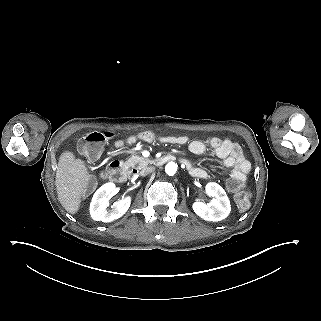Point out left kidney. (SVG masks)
<instances>
[{"instance_id": "1", "label": "left kidney", "mask_w": 321, "mask_h": 321, "mask_svg": "<svg viewBox=\"0 0 321 321\" xmlns=\"http://www.w3.org/2000/svg\"><path fill=\"white\" fill-rule=\"evenodd\" d=\"M205 192L209 197H216L207 205L203 202H194L192 209L197 216L206 221H221L231 213L229 198L224 189L216 182H208Z\"/></svg>"}]
</instances>
